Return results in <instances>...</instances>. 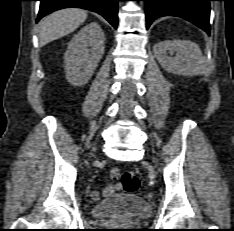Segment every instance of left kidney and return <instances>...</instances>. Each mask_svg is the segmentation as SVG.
Listing matches in <instances>:
<instances>
[{
  "label": "left kidney",
  "mask_w": 234,
  "mask_h": 231,
  "mask_svg": "<svg viewBox=\"0 0 234 231\" xmlns=\"http://www.w3.org/2000/svg\"><path fill=\"white\" fill-rule=\"evenodd\" d=\"M154 53L160 65L170 73L208 75L213 70V65L204 59L199 46L188 40L161 41L154 46ZM173 53H176L174 57L171 56Z\"/></svg>",
  "instance_id": "5707ae66"
}]
</instances>
